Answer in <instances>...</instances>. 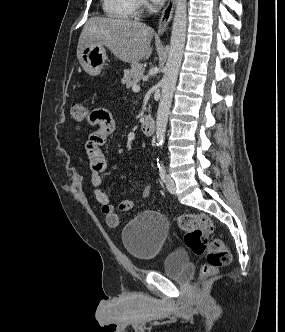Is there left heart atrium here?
Returning a JSON list of instances; mask_svg holds the SVG:
<instances>
[{
	"label": "left heart atrium",
	"mask_w": 285,
	"mask_h": 332,
	"mask_svg": "<svg viewBox=\"0 0 285 332\" xmlns=\"http://www.w3.org/2000/svg\"><path fill=\"white\" fill-rule=\"evenodd\" d=\"M152 1L156 4H160V3H163L165 0H152Z\"/></svg>",
	"instance_id": "obj_1"
}]
</instances>
